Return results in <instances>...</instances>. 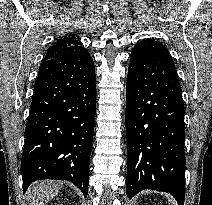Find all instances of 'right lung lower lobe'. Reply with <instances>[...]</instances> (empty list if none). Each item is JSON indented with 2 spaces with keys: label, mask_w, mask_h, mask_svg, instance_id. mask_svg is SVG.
I'll return each instance as SVG.
<instances>
[{
  "label": "right lung lower lobe",
  "mask_w": 212,
  "mask_h": 205,
  "mask_svg": "<svg viewBox=\"0 0 212 205\" xmlns=\"http://www.w3.org/2000/svg\"><path fill=\"white\" fill-rule=\"evenodd\" d=\"M96 112L90 56L44 60L38 72L21 160L23 191L41 179L67 180L88 194Z\"/></svg>",
  "instance_id": "98d812e1"
}]
</instances>
